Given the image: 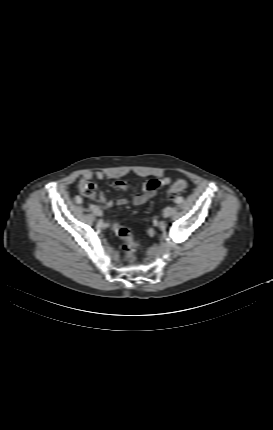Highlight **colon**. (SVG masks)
Instances as JSON below:
<instances>
[{
	"label": "colon",
	"instance_id": "1",
	"mask_svg": "<svg viewBox=\"0 0 273 430\" xmlns=\"http://www.w3.org/2000/svg\"><path fill=\"white\" fill-rule=\"evenodd\" d=\"M187 184L184 180H176L169 188L167 195L170 199H174L178 194L184 191ZM79 192L87 197L93 196L96 192V185L89 179L83 178L78 185ZM112 230L114 233L123 240L122 250L128 262H133L136 259L137 244L135 243L129 229L124 226L113 223Z\"/></svg>",
	"mask_w": 273,
	"mask_h": 430
}]
</instances>
